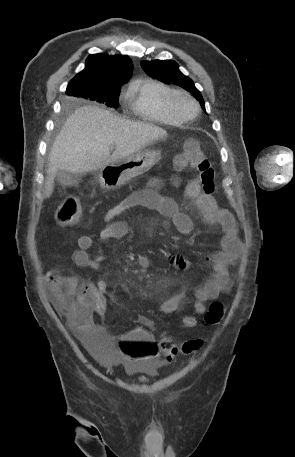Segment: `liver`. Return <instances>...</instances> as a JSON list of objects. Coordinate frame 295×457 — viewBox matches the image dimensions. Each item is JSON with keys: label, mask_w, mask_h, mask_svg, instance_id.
<instances>
[{"label": "liver", "mask_w": 295, "mask_h": 457, "mask_svg": "<svg viewBox=\"0 0 295 457\" xmlns=\"http://www.w3.org/2000/svg\"><path fill=\"white\" fill-rule=\"evenodd\" d=\"M166 136L156 125L124 120L95 106L80 107L67 118L52 145L44 196H51L59 170L79 174L101 169ZM113 144L116 148L110 155Z\"/></svg>", "instance_id": "1"}]
</instances>
